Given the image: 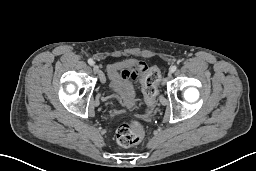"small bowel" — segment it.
Wrapping results in <instances>:
<instances>
[{"label": "small bowel", "instance_id": "c3829d8e", "mask_svg": "<svg viewBox=\"0 0 256 171\" xmlns=\"http://www.w3.org/2000/svg\"><path fill=\"white\" fill-rule=\"evenodd\" d=\"M146 70V64L143 61H134L123 70L124 74H131L135 79L139 74Z\"/></svg>", "mask_w": 256, "mask_h": 171}]
</instances>
